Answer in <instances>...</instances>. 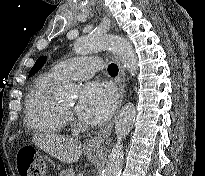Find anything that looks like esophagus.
<instances>
[{"label":"esophagus","instance_id":"34e87169","mask_svg":"<svg viewBox=\"0 0 205 176\" xmlns=\"http://www.w3.org/2000/svg\"><path fill=\"white\" fill-rule=\"evenodd\" d=\"M115 61H116L118 68H119V74H118L116 82H117V85L119 88L120 106H121L122 101H123L124 96H125L126 74H125L124 68H123L122 64L119 62V60L116 58ZM117 114H118V111L115 113L113 119L106 127H104L95 136H93L92 138H90L88 140L87 147L98 148V147H101L107 141L108 136L111 134V131L113 129Z\"/></svg>","mask_w":205,"mask_h":176}]
</instances>
